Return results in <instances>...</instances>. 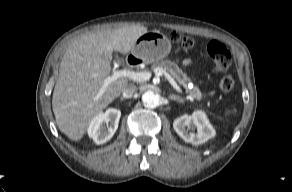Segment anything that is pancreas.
Segmentation results:
<instances>
[{
  "instance_id": "1",
  "label": "pancreas",
  "mask_w": 292,
  "mask_h": 192,
  "mask_svg": "<svg viewBox=\"0 0 292 192\" xmlns=\"http://www.w3.org/2000/svg\"><path fill=\"white\" fill-rule=\"evenodd\" d=\"M158 67L168 71L173 76V78L186 89V92H188L191 97L197 98L201 95L198 87H189V84L191 83L190 78L187 77V75L178 67L175 62L170 60H162L157 61L152 65V69H156Z\"/></svg>"
}]
</instances>
